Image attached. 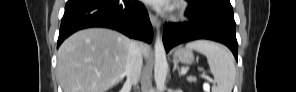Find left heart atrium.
Returning a JSON list of instances; mask_svg holds the SVG:
<instances>
[{"instance_id":"39dd6f15","label":"left heart atrium","mask_w":296,"mask_h":92,"mask_svg":"<svg viewBox=\"0 0 296 92\" xmlns=\"http://www.w3.org/2000/svg\"><path fill=\"white\" fill-rule=\"evenodd\" d=\"M149 3L155 5L159 9H168L170 6L167 1L164 0H152Z\"/></svg>"}]
</instances>
